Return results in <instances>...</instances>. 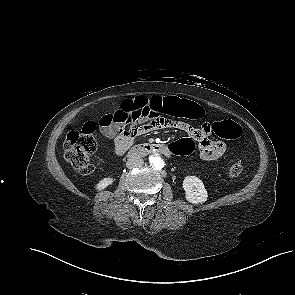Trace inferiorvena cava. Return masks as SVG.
I'll return each mask as SVG.
<instances>
[{
  "label": "inferior vena cava",
  "instance_id": "1",
  "mask_svg": "<svg viewBox=\"0 0 295 295\" xmlns=\"http://www.w3.org/2000/svg\"><path fill=\"white\" fill-rule=\"evenodd\" d=\"M143 164H144V160L140 157H137V156L130 157L126 162V166L129 169L140 167Z\"/></svg>",
  "mask_w": 295,
  "mask_h": 295
}]
</instances>
